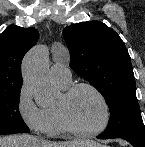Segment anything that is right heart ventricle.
Masks as SVG:
<instances>
[{
    "instance_id": "e07e8e85",
    "label": "right heart ventricle",
    "mask_w": 145,
    "mask_h": 147,
    "mask_svg": "<svg viewBox=\"0 0 145 147\" xmlns=\"http://www.w3.org/2000/svg\"><path fill=\"white\" fill-rule=\"evenodd\" d=\"M58 86L65 90L69 83H59L57 82ZM48 117L49 127H48V134L51 136H57L66 133V130L62 126L55 106H49L44 108Z\"/></svg>"
}]
</instances>
